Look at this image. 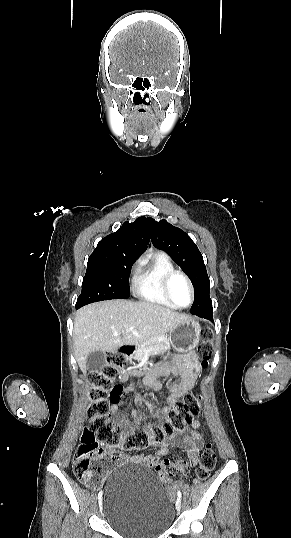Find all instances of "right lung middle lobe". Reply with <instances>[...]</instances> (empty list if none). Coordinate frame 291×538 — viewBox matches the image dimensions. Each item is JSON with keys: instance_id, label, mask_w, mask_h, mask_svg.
Instances as JSON below:
<instances>
[{"instance_id": "right-lung-middle-lobe-1", "label": "right lung middle lobe", "mask_w": 291, "mask_h": 538, "mask_svg": "<svg viewBox=\"0 0 291 538\" xmlns=\"http://www.w3.org/2000/svg\"><path fill=\"white\" fill-rule=\"evenodd\" d=\"M136 259L124 255H91L76 309L92 302L129 298V275Z\"/></svg>"}]
</instances>
